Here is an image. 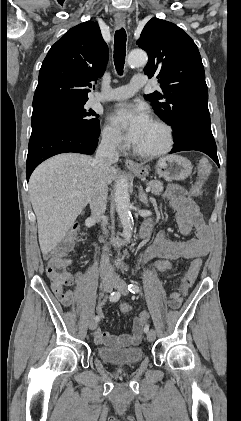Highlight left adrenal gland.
Wrapping results in <instances>:
<instances>
[{
    "label": "left adrenal gland",
    "instance_id": "1",
    "mask_svg": "<svg viewBox=\"0 0 241 421\" xmlns=\"http://www.w3.org/2000/svg\"><path fill=\"white\" fill-rule=\"evenodd\" d=\"M139 200L145 205V206H149V199H148V195L144 192L142 186L139 187V195H138Z\"/></svg>",
    "mask_w": 241,
    "mask_h": 421
}]
</instances>
